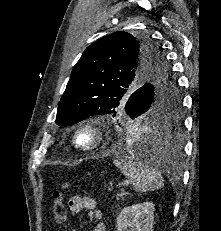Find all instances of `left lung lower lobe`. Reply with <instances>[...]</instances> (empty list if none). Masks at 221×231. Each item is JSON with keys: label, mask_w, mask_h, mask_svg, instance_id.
<instances>
[{"label": "left lung lower lobe", "mask_w": 221, "mask_h": 231, "mask_svg": "<svg viewBox=\"0 0 221 231\" xmlns=\"http://www.w3.org/2000/svg\"><path fill=\"white\" fill-rule=\"evenodd\" d=\"M137 100L138 99L136 98V101ZM134 106L135 103L133 107ZM130 117L134 119L132 115ZM166 126L172 128L171 133L167 138H164V135L162 136L155 132L156 129L160 128V124L153 123L150 126L151 129L144 127L142 130H127L122 132V135L119 137V142L121 144L128 143L134 145L137 149L146 153V161L153 165H160L167 168L169 163L176 161L181 153L182 144L179 136L181 121Z\"/></svg>", "instance_id": "obj_1"}]
</instances>
